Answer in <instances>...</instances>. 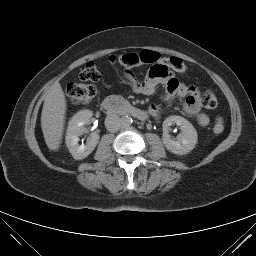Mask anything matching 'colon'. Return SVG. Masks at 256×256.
I'll return each mask as SVG.
<instances>
[{"instance_id": "colon-1", "label": "colon", "mask_w": 256, "mask_h": 256, "mask_svg": "<svg viewBox=\"0 0 256 256\" xmlns=\"http://www.w3.org/2000/svg\"><path fill=\"white\" fill-rule=\"evenodd\" d=\"M110 61L126 67L147 63L165 62L172 70L185 72L187 70L184 62L177 57L160 59V55L155 51L145 50L140 53H126L119 56H111ZM100 78V71L94 62H88L80 72V79L84 82H95ZM67 97L75 104L89 103L96 95V88L92 84L69 83L65 89ZM201 104L207 109L217 107L218 101L214 93L207 91L201 97ZM215 133H222L225 129V121L222 116L215 119L213 126Z\"/></svg>"}]
</instances>
